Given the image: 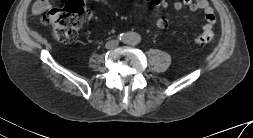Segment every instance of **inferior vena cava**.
Here are the masks:
<instances>
[{"label":"inferior vena cava","instance_id":"inferior-vena-cava-1","mask_svg":"<svg viewBox=\"0 0 253 138\" xmlns=\"http://www.w3.org/2000/svg\"><path fill=\"white\" fill-rule=\"evenodd\" d=\"M117 45H118V41L117 40H110V41L106 42L105 47L107 49H111V48L116 47Z\"/></svg>","mask_w":253,"mask_h":138}]
</instances>
